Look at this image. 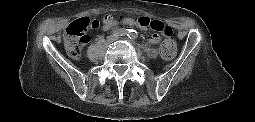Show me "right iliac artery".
<instances>
[{"label": "right iliac artery", "mask_w": 255, "mask_h": 122, "mask_svg": "<svg viewBox=\"0 0 255 122\" xmlns=\"http://www.w3.org/2000/svg\"><path fill=\"white\" fill-rule=\"evenodd\" d=\"M131 34V30L130 29H118L116 31H114V35L115 36H129Z\"/></svg>", "instance_id": "82829eb1"}]
</instances>
